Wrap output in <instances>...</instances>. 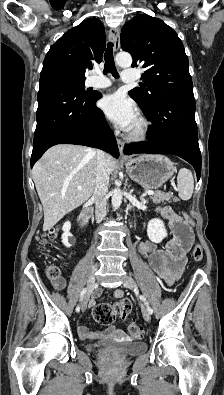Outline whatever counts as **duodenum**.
<instances>
[{
  "mask_svg": "<svg viewBox=\"0 0 224 395\" xmlns=\"http://www.w3.org/2000/svg\"><path fill=\"white\" fill-rule=\"evenodd\" d=\"M90 212H91V208H90V207H87V208H85L84 210H82V211L78 214V216H77V224H78V226H79L81 229L85 227L86 222H87V220H88V218H89Z\"/></svg>",
  "mask_w": 224,
  "mask_h": 395,
  "instance_id": "obj_1",
  "label": "duodenum"
}]
</instances>
